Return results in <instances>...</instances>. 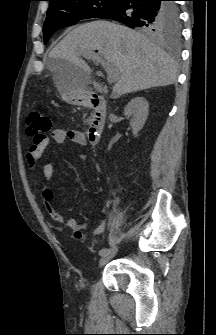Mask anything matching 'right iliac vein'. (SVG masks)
I'll list each match as a JSON object with an SVG mask.
<instances>
[{"mask_svg": "<svg viewBox=\"0 0 216 335\" xmlns=\"http://www.w3.org/2000/svg\"><path fill=\"white\" fill-rule=\"evenodd\" d=\"M118 250H119V246L118 245H114L112 248H110L108 250V252L100 258V260H99V267L104 266L111 259H113L115 257V255L117 254Z\"/></svg>", "mask_w": 216, "mask_h": 335, "instance_id": "63e3f726", "label": "right iliac vein"}]
</instances>
